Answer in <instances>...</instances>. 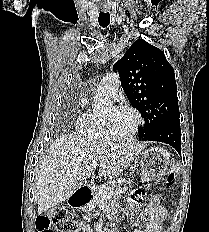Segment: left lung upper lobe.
<instances>
[{
    "label": "left lung upper lobe",
    "instance_id": "left-lung-upper-lobe-1",
    "mask_svg": "<svg viewBox=\"0 0 209 232\" xmlns=\"http://www.w3.org/2000/svg\"><path fill=\"white\" fill-rule=\"evenodd\" d=\"M113 68L129 102L144 117L139 138L146 140L166 123L179 120L177 86L173 67L163 51L143 39L136 40Z\"/></svg>",
    "mask_w": 209,
    "mask_h": 232
}]
</instances>
